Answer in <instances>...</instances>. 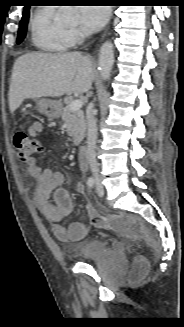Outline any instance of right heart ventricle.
<instances>
[{
	"mask_svg": "<svg viewBox=\"0 0 184 327\" xmlns=\"http://www.w3.org/2000/svg\"><path fill=\"white\" fill-rule=\"evenodd\" d=\"M53 7H40L31 17L29 28L32 43L46 52H64L73 46L70 30L59 25Z\"/></svg>",
	"mask_w": 184,
	"mask_h": 327,
	"instance_id": "1",
	"label": "right heart ventricle"
}]
</instances>
